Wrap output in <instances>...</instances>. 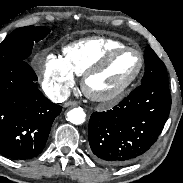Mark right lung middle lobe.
I'll return each mask as SVG.
<instances>
[{
  "mask_svg": "<svg viewBox=\"0 0 183 183\" xmlns=\"http://www.w3.org/2000/svg\"><path fill=\"white\" fill-rule=\"evenodd\" d=\"M50 29L46 27L26 26L14 30L0 44V65L26 61L33 45L45 38Z\"/></svg>",
  "mask_w": 183,
  "mask_h": 183,
  "instance_id": "right-lung-middle-lobe-1",
  "label": "right lung middle lobe"
}]
</instances>
